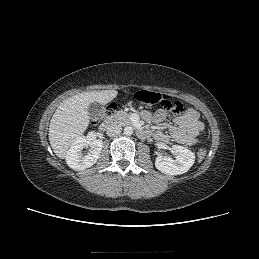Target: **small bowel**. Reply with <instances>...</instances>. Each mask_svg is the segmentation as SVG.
Listing matches in <instances>:
<instances>
[{"label": "small bowel", "instance_id": "small-bowel-1", "mask_svg": "<svg viewBox=\"0 0 259 259\" xmlns=\"http://www.w3.org/2000/svg\"><path fill=\"white\" fill-rule=\"evenodd\" d=\"M141 116L149 123L160 125V129L154 133V136L157 140L163 142L172 140L183 145H195L198 142L200 132L204 128L198 112L192 108H188L175 116L172 125L164 123L166 113L163 110H143Z\"/></svg>", "mask_w": 259, "mask_h": 259}]
</instances>
